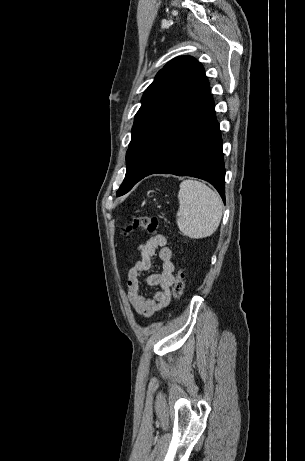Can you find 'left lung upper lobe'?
<instances>
[{
	"mask_svg": "<svg viewBox=\"0 0 305 461\" xmlns=\"http://www.w3.org/2000/svg\"><path fill=\"white\" fill-rule=\"evenodd\" d=\"M204 77L201 63L191 56L176 57L157 73L145 90L142 105L135 115L126 153V176L117 196L127 193L147 172L155 135Z\"/></svg>",
	"mask_w": 305,
	"mask_h": 461,
	"instance_id": "left-lung-upper-lobe-1",
	"label": "left lung upper lobe"
}]
</instances>
